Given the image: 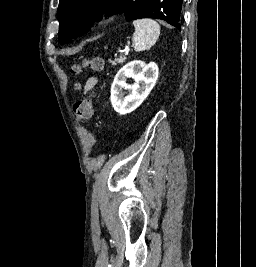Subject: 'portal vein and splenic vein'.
<instances>
[{"label":"portal vein and splenic vein","instance_id":"portal-vein-and-splenic-vein-1","mask_svg":"<svg viewBox=\"0 0 256 267\" xmlns=\"http://www.w3.org/2000/svg\"><path fill=\"white\" fill-rule=\"evenodd\" d=\"M130 52H131V49H130V48H127V49H126V52H125V55H126V56H129V55H130Z\"/></svg>","mask_w":256,"mask_h":267}]
</instances>
